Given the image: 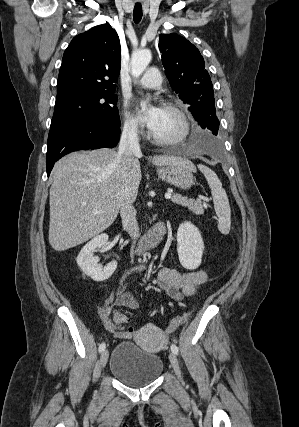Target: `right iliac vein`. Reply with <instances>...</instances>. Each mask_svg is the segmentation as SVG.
Wrapping results in <instances>:
<instances>
[{
	"mask_svg": "<svg viewBox=\"0 0 299 427\" xmlns=\"http://www.w3.org/2000/svg\"><path fill=\"white\" fill-rule=\"evenodd\" d=\"M108 357H109V352H108V350H104V351L101 353V356H100V364H101V366H102V367H105V365H106V363H107V361H108Z\"/></svg>",
	"mask_w": 299,
	"mask_h": 427,
	"instance_id": "right-iliac-vein-1",
	"label": "right iliac vein"
}]
</instances>
